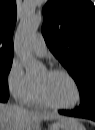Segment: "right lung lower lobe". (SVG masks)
Here are the masks:
<instances>
[{
    "mask_svg": "<svg viewBox=\"0 0 95 130\" xmlns=\"http://www.w3.org/2000/svg\"><path fill=\"white\" fill-rule=\"evenodd\" d=\"M8 98H9V92L8 93L0 92V102H7Z\"/></svg>",
    "mask_w": 95,
    "mask_h": 130,
    "instance_id": "1",
    "label": "right lung lower lobe"
}]
</instances>
